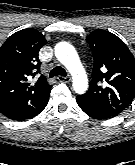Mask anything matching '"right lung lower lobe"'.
<instances>
[{
    "label": "right lung lower lobe",
    "mask_w": 135,
    "mask_h": 165,
    "mask_svg": "<svg viewBox=\"0 0 135 165\" xmlns=\"http://www.w3.org/2000/svg\"><path fill=\"white\" fill-rule=\"evenodd\" d=\"M48 99L44 100L41 103L35 104V105L17 107V108L7 110L2 113L7 118L12 119V120L21 121V120L31 119V118L37 116L42 110H44V108L46 107V105L48 103Z\"/></svg>",
    "instance_id": "obj_1"
}]
</instances>
